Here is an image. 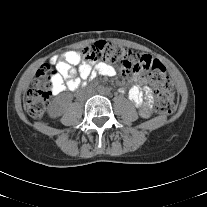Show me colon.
Returning <instances> with one entry per match:
<instances>
[{"label": "colon", "mask_w": 207, "mask_h": 207, "mask_svg": "<svg viewBox=\"0 0 207 207\" xmlns=\"http://www.w3.org/2000/svg\"><path fill=\"white\" fill-rule=\"evenodd\" d=\"M88 61L99 58L121 65L125 74L137 71L149 73L148 84L154 89L155 109L170 114L175 108L172 82L165 66L148 52L140 54L115 43L99 41L84 50ZM56 74L49 64H44L36 73L35 80L26 93L25 108L32 119H39L45 113L51 96L52 79Z\"/></svg>", "instance_id": "5ec220e1"}]
</instances>
